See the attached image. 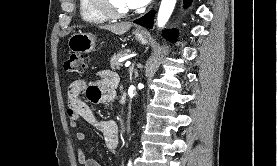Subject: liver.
<instances>
[{"label": "liver", "mask_w": 277, "mask_h": 166, "mask_svg": "<svg viewBox=\"0 0 277 166\" xmlns=\"http://www.w3.org/2000/svg\"><path fill=\"white\" fill-rule=\"evenodd\" d=\"M131 26L132 24L129 22H123V23L104 25V26H100L99 28L111 31L116 35H123L131 28Z\"/></svg>", "instance_id": "obj_1"}]
</instances>
